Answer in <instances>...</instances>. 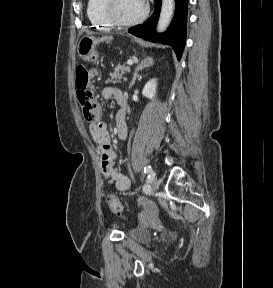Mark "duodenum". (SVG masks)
Here are the masks:
<instances>
[{
  "label": "duodenum",
  "instance_id": "obj_1",
  "mask_svg": "<svg viewBox=\"0 0 273 288\" xmlns=\"http://www.w3.org/2000/svg\"><path fill=\"white\" fill-rule=\"evenodd\" d=\"M126 99H125V97L124 98H121V100H120V106H121V108H122V112H121V118L123 119L124 118V111H125V108H126Z\"/></svg>",
  "mask_w": 273,
  "mask_h": 288
}]
</instances>
